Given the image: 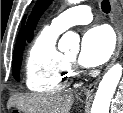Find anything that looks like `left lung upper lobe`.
<instances>
[{
	"mask_svg": "<svg viewBox=\"0 0 123 113\" xmlns=\"http://www.w3.org/2000/svg\"><path fill=\"white\" fill-rule=\"evenodd\" d=\"M53 0H37L33 11L28 19L27 23V40L31 41L33 37V31L37 25L38 20L42 14L46 11Z\"/></svg>",
	"mask_w": 123,
	"mask_h": 113,
	"instance_id": "obj_1",
	"label": "left lung upper lobe"
}]
</instances>
